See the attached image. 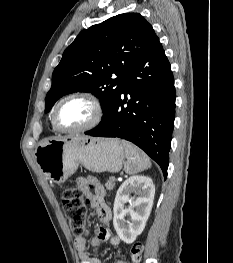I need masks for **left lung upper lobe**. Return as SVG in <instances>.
<instances>
[{
  "instance_id": "1",
  "label": "left lung upper lobe",
  "mask_w": 233,
  "mask_h": 263,
  "mask_svg": "<svg viewBox=\"0 0 233 263\" xmlns=\"http://www.w3.org/2000/svg\"><path fill=\"white\" fill-rule=\"evenodd\" d=\"M156 37L138 13L119 14L84 29L52 74L45 112L60 97L84 91L100 99L103 117L107 115L119 98L126 74Z\"/></svg>"
}]
</instances>
